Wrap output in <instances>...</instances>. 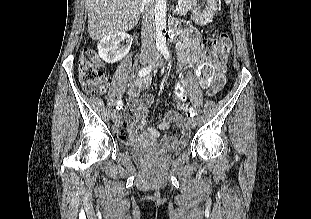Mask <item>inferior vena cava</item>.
<instances>
[{"mask_svg":"<svg viewBox=\"0 0 311 219\" xmlns=\"http://www.w3.org/2000/svg\"><path fill=\"white\" fill-rule=\"evenodd\" d=\"M144 7L142 21V51L155 50L154 0H141Z\"/></svg>","mask_w":311,"mask_h":219,"instance_id":"obj_1","label":"inferior vena cava"}]
</instances>
